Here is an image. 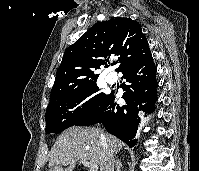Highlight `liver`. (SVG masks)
<instances>
[{"mask_svg": "<svg viewBox=\"0 0 199 171\" xmlns=\"http://www.w3.org/2000/svg\"><path fill=\"white\" fill-rule=\"evenodd\" d=\"M122 147L121 140L97 128L71 127L56 140L51 150L49 171H73L81 160L94 162L100 166V171H105L109 154H116ZM63 165L68 167L63 169Z\"/></svg>", "mask_w": 199, "mask_h": 171, "instance_id": "liver-1", "label": "liver"}]
</instances>
